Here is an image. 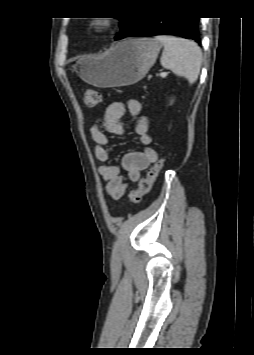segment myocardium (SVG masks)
I'll return each instance as SVG.
<instances>
[{
	"label": "myocardium",
	"instance_id": "obj_1",
	"mask_svg": "<svg viewBox=\"0 0 254 355\" xmlns=\"http://www.w3.org/2000/svg\"><path fill=\"white\" fill-rule=\"evenodd\" d=\"M113 24L112 19L97 17L93 18L90 21V30L95 35H103L106 34Z\"/></svg>",
	"mask_w": 254,
	"mask_h": 355
}]
</instances>
